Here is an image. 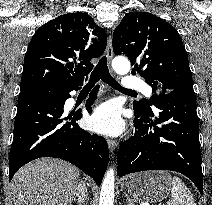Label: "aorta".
Returning <instances> with one entry per match:
<instances>
[{
	"mask_svg": "<svg viewBox=\"0 0 212 205\" xmlns=\"http://www.w3.org/2000/svg\"><path fill=\"white\" fill-rule=\"evenodd\" d=\"M112 67L116 73L124 75L130 71V61L125 57H115L112 61ZM114 189H115V170L109 168L104 176L100 197L99 205H114Z\"/></svg>",
	"mask_w": 212,
	"mask_h": 205,
	"instance_id": "1",
	"label": "aorta"
}]
</instances>
